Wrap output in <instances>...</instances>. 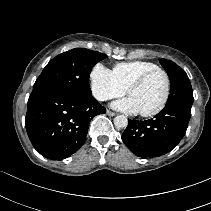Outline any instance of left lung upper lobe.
I'll return each instance as SVG.
<instances>
[{
    "label": "left lung upper lobe",
    "mask_w": 211,
    "mask_h": 211,
    "mask_svg": "<svg viewBox=\"0 0 211 211\" xmlns=\"http://www.w3.org/2000/svg\"><path fill=\"white\" fill-rule=\"evenodd\" d=\"M161 65L166 70L171 89L167 104L173 102H182L192 105L193 91L187 74L174 62L166 59L160 60Z\"/></svg>",
    "instance_id": "1"
}]
</instances>
